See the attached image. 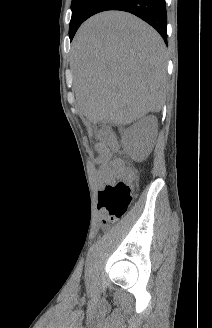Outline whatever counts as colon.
I'll list each match as a JSON object with an SVG mask.
<instances>
[{"label": "colon", "instance_id": "1", "mask_svg": "<svg viewBox=\"0 0 212 328\" xmlns=\"http://www.w3.org/2000/svg\"><path fill=\"white\" fill-rule=\"evenodd\" d=\"M101 144L106 147L117 149V142L109 132L99 133ZM133 171L130 167H122L121 176L131 179ZM134 197L133 186L124 181L106 185L98 194V208L101 211L102 223L109 226L118 221L127 211Z\"/></svg>", "mask_w": 212, "mask_h": 328}]
</instances>
